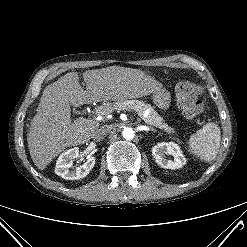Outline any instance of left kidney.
<instances>
[{
  "mask_svg": "<svg viewBox=\"0 0 247 247\" xmlns=\"http://www.w3.org/2000/svg\"><path fill=\"white\" fill-rule=\"evenodd\" d=\"M152 155L158 165L165 169H179L186 164V158L180 147L173 142L158 143L152 148ZM165 155H172L173 160L166 159Z\"/></svg>",
  "mask_w": 247,
  "mask_h": 247,
  "instance_id": "1",
  "label": "left kidney"
}]
</instances>
